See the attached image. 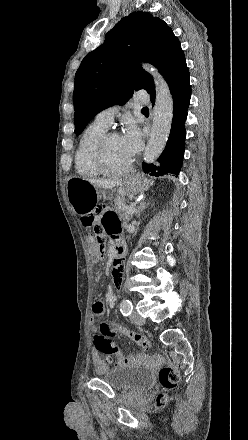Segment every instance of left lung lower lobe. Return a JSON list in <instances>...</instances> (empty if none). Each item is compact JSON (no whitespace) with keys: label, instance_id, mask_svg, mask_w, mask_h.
<instances>
[{"label":"left lung lower lobe","instance_id":"1","mask_svg":"<svg viewBox=\"0 0 248 440\" xmlns=\"http://www.w3.org/2000/svg\"><path fill=\"white\" fill-rule=\"evenodd\" d=\"M170 91L173 97V120L166 147L158 159L160 166L145 163L142 165L143 171L151 176L179 174L182 165L186 136L184 123L191 98L189 78L175 83ZM151 101L154 104L155 98Z\"/></svg>","mask_w":248,"mask_h":440}]
</instances>
